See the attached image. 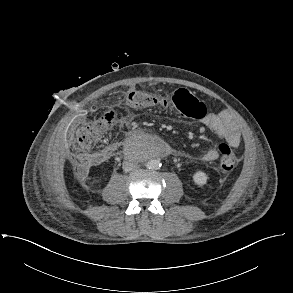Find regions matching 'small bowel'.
<instances>
[{
    "mask_svg": "<svg viewBox=\"0 0 293 293\" xmlns=\"http://www.w3.org/2000/svg\"><path fill=\"white\" fill-rule=\"evenodd\" d=\"M199 102L200 105L195 109V116L200 119L203 127L223 138L230 146L238 147L241 139L236 123L229 117L207 112L205 105L201 101ZM218 157L219 154L214 148H210L200 155V159L204 162L215 161Z\"/></svg>",
    "mask_w": 293,
    "mask_h": 293,
    "instance_id": "c3829d8e",
    "label": "small bowel"
}]
</instances>
